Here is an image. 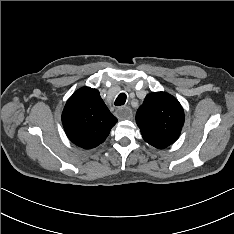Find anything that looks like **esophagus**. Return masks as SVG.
I'll return each instance as SVG.
<instances>
[{"label":"esophagus","mask_w":234,"mask_h":234,"mask_svg":"<svg viewBox=\"0 0 234 234\" xmlns=\"http://www.w3.org/2000/svg\"><path fill=\"white\" fill-rule=\"evenodd\" d=\"M117 113L121 119H130L132 117V110L129 107L118 108Z\"/></svg>","instance_id":"obj_1"}]
</instances>
